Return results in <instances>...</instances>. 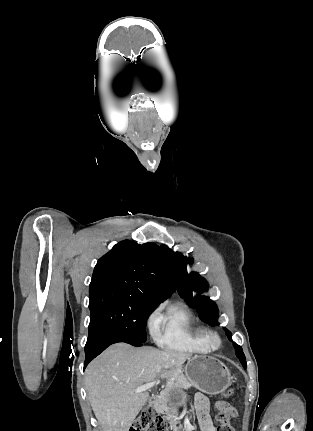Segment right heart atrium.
<instances>
[{"label":"right heart atrium","mask_w":313,"mask_h":431,"mask_svg":"<svg viewBox=\"0 0 313 431\" xmlns=\"http://www.w3.org/2000/svg\"><path fill=\"white\" fill-rule=\"evenodd\" d=\"M148 327L153 336L156 337L160 328V315L158 311H153L148 318Z\"/></svg>","instance_id":"1"}]
</instances>
